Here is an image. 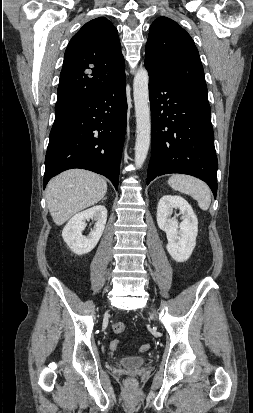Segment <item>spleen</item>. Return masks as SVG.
I'll list each match as a JSON object with an SVG mask.
<instances>
[{"label":"spleen","instance_id":"3e777b00","mask_svg":"<svg viewBox=\"0 0 253 413\" xmlns=\"http://www.w3.org/2000/svg\"><path fill=\"white\" fill-rule=\"evenodd\" d=\"M168 184L174 190L190 195L197 200L202 210H208L211 203V191L202 180L189 175L174 174L169 178Z\"/></svg>","mask_w":253,"mask_h":413}]
</instances>
